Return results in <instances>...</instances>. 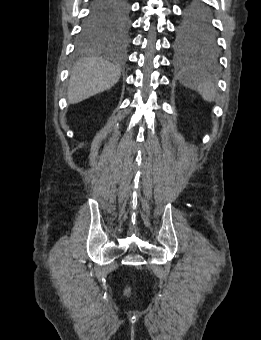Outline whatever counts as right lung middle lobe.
I'll return each instance as SVG.
<instances>
[{
    "label": "right lung middle lobe",
    "instance_id": "1",
    "mask_svg": "<svg viewBox=\"0 0 261 340\" xmlns=\"http://www.w3.org/2000/svg\"><path fill=\"white\" fill-rule=\"evenodd\" d=\"M129 26L128 8L114 16L89 14L83 23L78 43L85 47L108 39L125 40Z\"/></svg>",
    "mask_w": 261,
    "mask_h": 340
}]
</instances>
